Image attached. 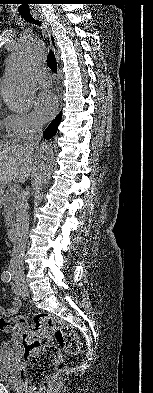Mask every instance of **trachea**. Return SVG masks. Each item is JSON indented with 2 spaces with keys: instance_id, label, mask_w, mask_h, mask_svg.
I'll list each match as a JSON object with an SVG mask.
<instances>
[{
  "instance_id": "3493384b",
  "label": "trachea",
  "mask_w": 153,
  "mask_h": 393,
  "mask_svg": "<svg viewBox=\"0 0 153 393\" xmlns=\"http://www.w3.org/2000/svg\"><path fill=\"white\" fill-rule=\"evenodd\" d=\"M21 16L25 19V21L29 23H35L40 25V22L36 21L30 13L21 14ZM47 65L52 72L57 73V61L54 52L52 50L49 51V54L47 56Z\"/></svg>"
}]
</instances>
